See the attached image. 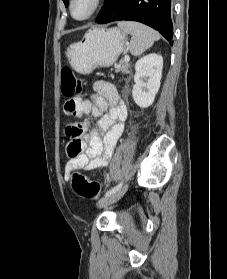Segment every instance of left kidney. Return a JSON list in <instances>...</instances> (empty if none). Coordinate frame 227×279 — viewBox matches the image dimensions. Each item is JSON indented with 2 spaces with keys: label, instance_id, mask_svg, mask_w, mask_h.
<instances>
[{
  "label": "left kidney",
  "instance_id": "obj_1",
  "mask_svg": "<svg viewBox=\"0 0 227 279\" xmlns=\"http://www.w3.org/2000/svg\"><path fill=\"white\" fill-rule=\"evenodd\" d=\"M163 58L155 53L140 58L135 64L132 97L141 108H147L154 102L160 88Z\"/></svg>",
  "mask_w": 227,
  "mask_h": 279
}]
</instances>
